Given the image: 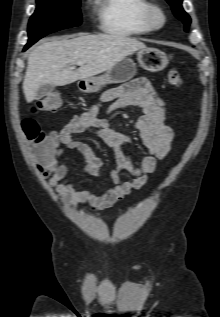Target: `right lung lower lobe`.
Here are the masks:
<instances>
[{
    "label": "right lung lower lobe",
    "mask_w": 220,
    "mask_h": 317,
    "mask_svg": "<svg viewBox=\"0 0 220 317\" xmlns=\"http://www.w3.org/2000/svg\"><path fill=\"white\" fill-rule=\"evenodd\" d=\"M32 44H34V43L28 42V43L26 44L25 48H24V51H25L27 48H29Z\"/></svg>",
    "instance_id": "1"
}]
</instances>
